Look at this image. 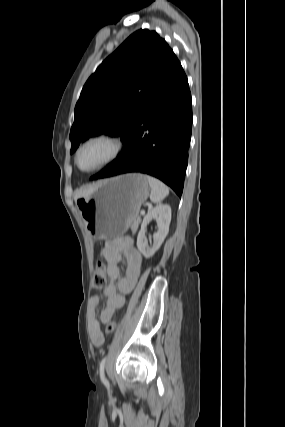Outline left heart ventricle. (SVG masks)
<instances>
[{"label":"left heart ventricle","instance_id":"b2bd125f","mask_svg":"<svg viewBox=\"0 0 285 427\" xmlns=\"http://www.w3.org/2000/svg\"><path fill=\"white\" fill-rule=\"evenodd\" d=\"M112 146L104 141L93 142L81 152L79 163L82 169L93 168L102 163L111 153Z\"/></svg>","mask_w":285,"mask_h":427}]
</instances>
